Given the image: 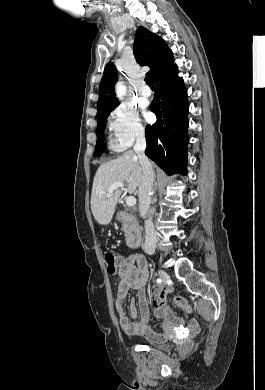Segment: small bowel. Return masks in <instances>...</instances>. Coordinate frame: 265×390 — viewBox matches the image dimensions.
I'll list each match as a JSON object with an SVG mask.
<instances>
[{"instance_id":"c3829d8e","label":"small bowel","mask_w":265,"mask_h":390,"mask_svg":"<svg viewBox=\"0 0 265 390\" xmlns=\"http://www.w3.org/2000/svg\"><path fill=\"white\" fill-rule=\"evenodd\" d=\"M118 285L115 298V310L121 329L128 335H143L151 340H162L166 336L154 330L150 323V301L154 306L155 316L164 318L168 323H182V319L175 316L167 306L166 295L168 290L162 286H155L150 294V301L147 293L146 283L148 279V264L141 254H131L119 258ZM129 289L137 290L140 319L135 299L130 303V320L126 314V296ZM199 323L191 320L184 328L187 335L197 333Z\"/></svg>"}]
</instances>
